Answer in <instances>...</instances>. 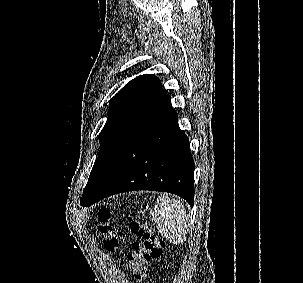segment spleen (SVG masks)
<instances>
[{"mask_svg": "<svg viewBox=\"0 0 303 283\" xmlns=\"http://www.w3.org/2000/svg\"><path fill=\"white\" fill-rule=\"evenodd\" d=\"M150 214L158 231L170 242L182 244L188 231V214L180 200L159 196Z\"/></svg>", "mask_w": 303, "mask_h": 283, "instance_id": "1", "label": "spleen"}]
</instances>
